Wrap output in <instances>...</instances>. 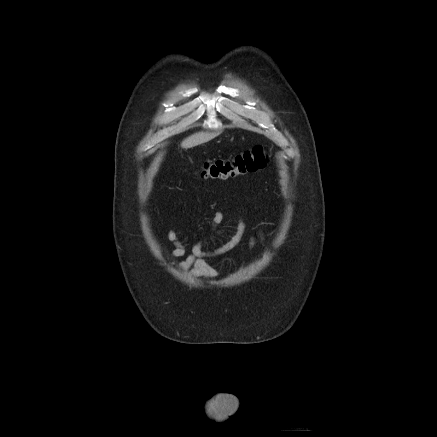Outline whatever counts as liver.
Segmentation results:
<instances>
[{"mask_svg": "<svg viewBox=\"0 0 437 437\" xmlns=\"http://www.w3.org/2000/svg\"><path fill=\"white\" fill-rule=\"evenodd\" d=\"M218 135L219 132H198L183 140L181 147L184 149L193 148L214 139Z\"/></svg>", "mask_w": 437, "mask_h": 437, "instance_id": "liver-1", "label": "liver"}]
</instances>
